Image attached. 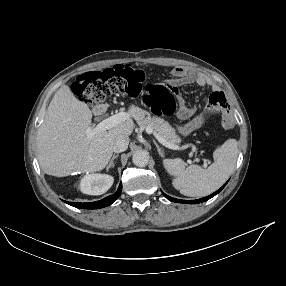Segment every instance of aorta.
Listing matches in <instances>:
<instances>
[{
	"mask_svg": "<svg viewBox=\"0 0 286 286\" xmlns=\"http://www.w3.org/2000/svg\"><path fill=\"white\" fill-rule=\"evenodd\" d=\"M133 163L138 167H145L149 162V154L145 150H138L133 154Z\"/></svg>",
	"mask_w": 286,
	"mask_h": 286,
	"instance_id": "1",
	"label": "aorta"
}]
</instances>
